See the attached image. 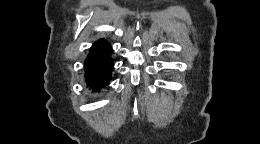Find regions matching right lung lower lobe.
<instances>
[{"instance_id": "right-lung-lower-lobe-1", "label": "right lung lower lobe", "mask_w": 260, "mask_h": 144, "mask_svg": "<svg viewBox=\"0 0 260 144\" xmlns=\"http://www.w3.org/2000/svg\"><path fill=\"white\" fill-rule=\"evenodd\" d=\"M111 53L110 44L101 39L94 43L85 60L86 82L93 91L106 87L111 80L113 68Z\"/></svg>"}]
</instances>
